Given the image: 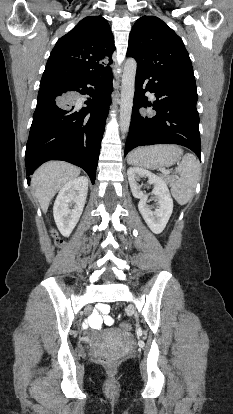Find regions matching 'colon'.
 <instances>
[{"label": "colon", "mask_w": 233, "mask_h": 414, "mask_svg": "<svg viewBox=\"0 0 233 414\" xmlns=\"http://www.w3.org/2000/svg\"><path fill=\"white\" fill-rule=\"evenodd\" d=\"M53 236L55 237V243H56V245L57 246H62L63 245V241L60 238H58L55 233H53ZM120 329L122 331H124V332H128V331L131 330V324L128 323V322H122L120 324ZM99 361H100V363L102 365H104L105 367H108V368L113 367L114 366V363H115L114 359H112V358H110L108 356H101L99 358Z\"/></svg>", "instance_id": "colon-1"}]
</instances>
